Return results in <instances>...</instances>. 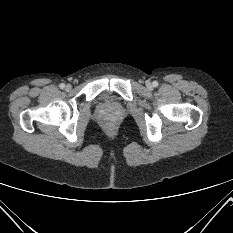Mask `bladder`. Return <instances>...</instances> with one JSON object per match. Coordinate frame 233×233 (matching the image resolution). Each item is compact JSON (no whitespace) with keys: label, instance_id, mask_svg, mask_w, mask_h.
<instances>
[{"label":"bladder","instance_id":"1","mask_svg":"<svg viewBox=\"0 0 233 233\" xmlns=\"http://www.w3.org/2000/svg\"><path fill=\"white\" fill-rule=\"evenodd\" d=\"M107 96H108V93H103V94H102V97H103V98H105V97H107Z\"/></svg>","mask_w":233,"mask_h":233}]
</instances>
